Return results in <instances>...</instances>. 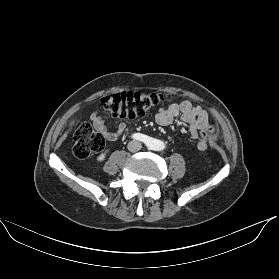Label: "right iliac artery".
<instances>
[{
  "instance_id": "obj_1",
  "label": "right iliac artery",
  "mask_w": 279,
  "mask_h": 279,
  "mask_svg": "<svg viewBox=\"0 0 279 279\" xmlns=\"http://www.w3.org/2000/svg\"><path fill=\"white\" fill-rule=\"evenodd\" d=\"M132 138L136 139V140H139V141H143V142L147 141V137L145 135H143V134H140V133L133 134Z\"/></svg>"
}]
</instances>
